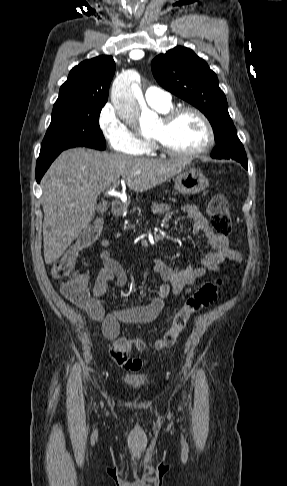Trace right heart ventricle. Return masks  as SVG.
<instances>
[{
    "mask_svg": "<svg viewBox=\"0 0 287 486\" xmlns=\"http://www.w3.org/2000/svg\"><path fill=\"white\" fill-rule=\"evenodd\" d=\"M170 109H171V106H168V107H166L164 109H157V110L159 112H161V113H166ZM154 151H155V147L152 144V142L150 140H148V139L143 140V148H142V150L140 151L139 154L150 156V155H152L154 153Z\"/></svg>",
    "mask_w": 287,
    "mask_h": 486,
    "instance_id": "e07e8e85",
    "label": "right heart ventricle"
}]
</instances>
